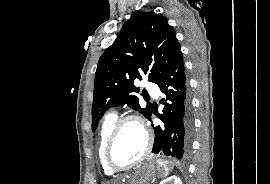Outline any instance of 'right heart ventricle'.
<instances>
[{"label": "right heart ventricle", "mask_w": 270, "mask_h": 184, "mask_svg": "<svg viewBox=\"0 0 270 184\" xmlns=\"http://www.w3.org/2000/svg\"><path fill=\"white\" fill-rule=\"evenodd\" d=\"M117 121V115L113 112L108 113L105 115V117L103 118V121L101 123V127H100V134H99V149H98V153H99V160L101 163V166L104 170V172L108 175L113 174V171L110 170L107 165L105 164L104 161V149H105V145L107 142V139L110 135V132L115 124V122Z\"/></svg>", "instance_id": "e07e8e85"}]
</instances>
